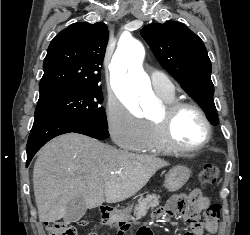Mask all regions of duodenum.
I'll return each instance as SVG.
<instances>
[{"label":"duodenum","instance_id":"1","mask_svg":"<svg viewBox=\"0 0 250 235\" xmlns=\"http://www.w3.org/2000/svg\"><path fill=\"white\" fill-rule=\"evenodd\" d=\"M101 215L103 223L111 229H113L114 227H121L123 225V223H119L114 219V211L106 206L101 207Z\"/></svg>","mask_w":250,"mask_h":235}]
</instances>
